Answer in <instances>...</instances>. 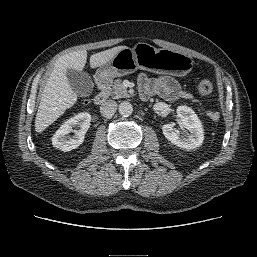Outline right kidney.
Here are the masks:
<instances>
[{"label": "right kidney", "instance_id": "obj_1", "mask_svg": "<svg viewBox=\"0 0 257 257\" xmlns=\"http://www.w3.org/2000/svg\"><path fill=\"white\" fill-rule=\"evenodd\" d=\"M91 115L87 112L78 113L77 115L68 119L55 132L52 137L53 147L68 152L76 149L84 141V136L90 127ZM79 130H73L78 128ZM74 132V136H69V133Z\"/></svg>", "mask_w": 257, "mask_h": 257}]
</instances>
